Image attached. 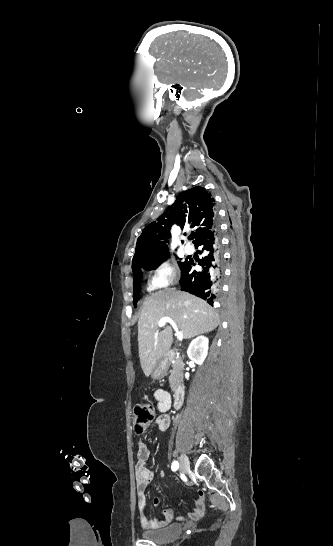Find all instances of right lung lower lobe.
Segmentation results:
<instances>
[{
    "instance_id": "obj_1",
    "label": "right lung lower lobe",
    "mask_w": 333,
    "mask_h": 546,
    "mask_svg": "<svg viewBox=\"0 0 333 546\" xmlns=\"http://www.w3.org/2000/svg\"><path fill=\"white\" fill-rule=\"evenodd\" d=\"M195 246H202L204 257L197 261L202 270L196 271L194 269L195 261L193 259L186 260L180 267V285L183 291L194 294L213 306L222 274V251L217 228L215 227L204 234L195 243Z\"/></svg>"
}]
</instances>
